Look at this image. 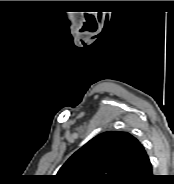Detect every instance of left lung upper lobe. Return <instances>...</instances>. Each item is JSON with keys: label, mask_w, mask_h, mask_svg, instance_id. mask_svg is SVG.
Returning a JSON list of instances; mask_svg holds the SVG:
<instances>
[{"label": "left lung upper lobe", "mask_w": 174, "mask_h": 184, "mask_svg": "<svg viewBox=\"0 0 174 184\" xmlns=\"http://www.w3.org/2000/svg\"><path fill=\"white\" fill-rule=\"evenodd\" d=\"M140 147L127 132H104L76 151L57 179L63 184H126Z\"/></svg>", "instance_id": "obj_1"}]
</instances>
